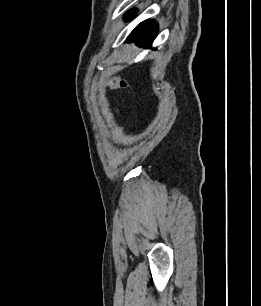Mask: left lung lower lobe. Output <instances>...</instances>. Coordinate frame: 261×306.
<instances>
[{"label":"left lung lower lobe","instance_id":"obj_1","mask_svg":"<svg viewBox=\"0 0 261 306\" xmlns=\"http://www.w3.org/2000/svg\"><path fill=\"white\" fill-rule=\"evenodd\" d=\"M136 15L135 11H130L126 15V20L132 19ZM158 31L155 21L146 20L140 23L127 38V42H134L139 47H150Z\"/></svg>","mask_w":261,"mask_h":306}]
</instances>
